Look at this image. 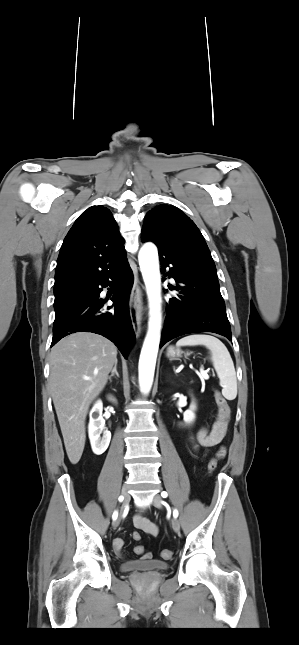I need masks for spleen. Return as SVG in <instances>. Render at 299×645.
<instances>
[{"instance_id": "1", "label": "spleen", "mask_w": 299, "mask_h": 645, "mask_svg": "<svg viewBox=\"0 0 299 645\" xmlns=\"http://www.w3.org/2000/svg\"><path fill=\"white\" fill-rule=\"evenodd\" d=\"M177 346L204 345L211 352V361L223 387L222 394L228 400L237 396V379L232 358L226 346L217 338L206 334H194L181 338Z\"/></svg>"}]
</instances>
